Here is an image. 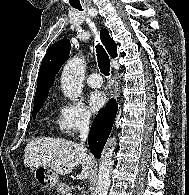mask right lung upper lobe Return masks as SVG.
I'll return each instance as SVG.
<instances>
[{
	"mask_svg": "<svg viewBox=\"0 0 189 195\" xmlns=\"http://www.w3.org/2000/svg\"><path fill=\"white\" fill-rule=\"evenodd\" d=\"M101 41L111 57L117 56V45L111 39L107 29L100 31ZM71 44L68 39H62L54 43L44 56L37 79V90L34 102L46 99L49 88L53 85L55 75L63 63L69 58Z\"/></svg>",
	"mask_w": 189,
	"mask_h": 195,
	"instance_id": "right-lung-upper-lobe-1",
	"label": "right lung upper lobe"
}]
</instances>
